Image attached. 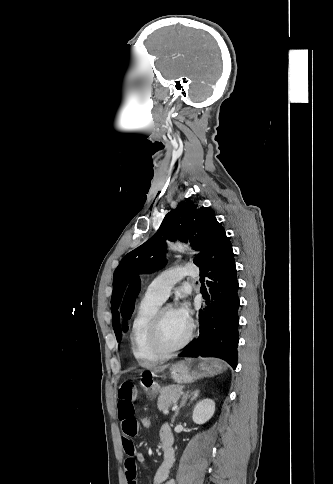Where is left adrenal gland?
Segmentation results:
<instances>
[{"mask_svg":"<svg viewBox=\"0 0 333 484\" xmlns=\"http://www.w3.org/2000/svg\"><path fill=\"white\" fill-rule=\"evenodd\" d=\"M198 394H199V390L192 391L191 393H189V391H187V393L182 397L181 404H180L179 408L177 409V411L175 412V415L172 418V423L175 421V418L178 416L180 409L182 407H184V405L187 402V400L189 398H191L190 399L191 402L194 401V400H196L197 397H198Z\"/></svg>","mask_w":333,"mask_h":484,"instance_id":"a2214340","label":"left adrenal gland"}]
</instances>
